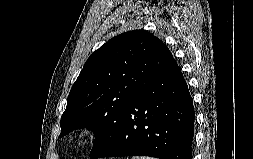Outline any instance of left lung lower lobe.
Listing matches in <instances>:
<instances>
[{
	"mask_svg": "<svg viewBox=\"0 0 253 159\" xmlns=\"http://www.w3.org/2000/svg\"><path fill=\"white\" fill-rule=\"evenodd\" d=\"M194 107L188 86L173 59L122 111L114 130L90 159L151 156L192 159Z\"/></svg>",
	"mask_w": 253,
	"mask_h": 159,
	"instance_id": "left-lung-lower-lobe-1",
	"label": "left lung lower lobe"
}]
</instances>
